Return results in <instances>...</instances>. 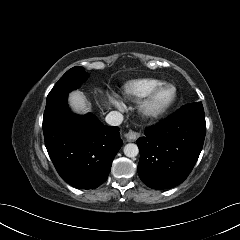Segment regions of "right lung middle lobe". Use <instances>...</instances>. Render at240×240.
Masks as SVG:
<instances>
[{
  "instance_id": "1",
  "label": "right lung middle lobe",
  "mask_w": 240,
  "mask_h": 240,
  "mask_svg": "<svg viewBox=\"0 0 240 240\" xmlns=\"http://www.w3.org/2000/svg\"><path fill=\"white\" fill-rule=\"evenodd\" d=\"M87 76L88 75L83 67L77 66L69 69L50 91L47 100L54 96L66 94L77 89Z\"/></svg>"
}]
</instances>
